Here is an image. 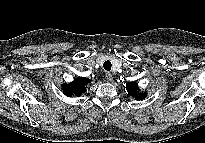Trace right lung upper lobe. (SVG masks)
I'll return each instance as SVG.
<instances>
[{
    "label": "right lung upper lobe",
    "mask_w": 205,
    "mask_h": 143,
    "mask_svg": "<svg viewBox=\"0 0 205 143\" xmlns=\"http://www.w3.org/2000/svg\"><path fill=\"white\" fill-rule=\"evenodd\" d=\"M90 82L87 78H75L70 85L64 84L62 86L63 92L66 96L80 95L85 92V86Z\"/></svg>",
    "instance_id": "cb5924a9"
}]
</instances>
